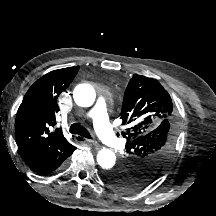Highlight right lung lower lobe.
Instances as JSON below:
<instances>
[{
	"instance_id": "obj_1",
	"label": "right lung lower lobe",
	"mask_w": 216,
	"mask_h": 216,
	"mask_svg": "<svg viewBox=\"0 0 216 216\" xmlns=\"http://www.w3.org/2000/svg\"><path fill=\"white\" fill-rule=\"evenodd\" d=\"M71 154H72V153H71ZM71 154H70V155H71ZM70 155H68V156H66V157H63V158H59V159H57V160L51 162L49 165H47V166H45V167H43V168H41L40 170L35 171V172L38 173V174H49V173H52V172H54L56 169L60 168V167L63 165L64 161H65Z\"/></svg>"
}]
</instances>
